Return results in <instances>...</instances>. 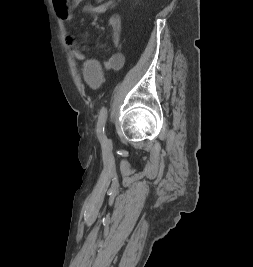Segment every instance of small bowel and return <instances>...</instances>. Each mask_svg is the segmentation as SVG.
Here are the masks:
<instances>
[{"label":"small bowel","mask_w":253,"mask_h":267,"mask_svg":"<svg viewBox=\"0 0 253 267\" xmlns=\"http://www.w3.org/2000/svg\"><path fill=\"white\" fill-rule=\"evenodd\" d=\"M84 0H53V5L57 15L65 22L66 34L65 39L67 44L70 46L72 54L78 60H84L85 55L82 51L81 46L76 42L72 32L69 30L70 24L73 19L74 9L77 8ZM98 4L93 5L87 3L83 6V11L89 14H103L109 9L116 5V0H94ZM109 26L111 29V35L113 43L119 46L122 31V22L118 14H113L109 18ZM109 64L113 68H121L124 64V57L120 53L114 54L110 60Z\"/></svg>","instance_id":"c3829d8e"}]
</instances>
